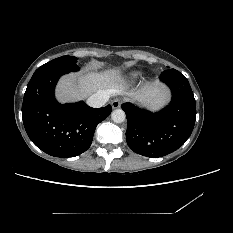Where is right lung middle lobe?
<instances>
[{
    "mask_svg": "<svg viewBox=\"0 0 233 233\" xmlns=\"http://www.w3.org/2000/svg\"><path fill=\"white\" fill-rule=\"evenodd\" d=\"M56 69H62L66 72L78 71L77 58L74 56H62L40 66L34 74L49 72Z\"/></svg>",
    "mask_w": 233,
    "mask_h": 233,
    "instance_id": "1",
    "label": "right lung middle lobe"
}]
</instances>
